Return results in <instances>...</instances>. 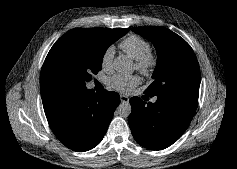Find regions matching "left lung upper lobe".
<instances>
[{
  "mask_svg": "<svg viewBox=\"0 0 237 169\" xmlns=\"http://www.w3.org/2000/svg\"><path fill=\"white\" fill-rule=\"evenodd\" d=\"M132 31L150 40L158 54L153 83L145 90L152 97L167 92L199 94L200 69L190 45L171 30L160 27H137Z\"/></svg>",
  "mask_w": 237,
  "mask_h": 169,
  "instance_id": "obj_1",
  "label": "left lung upper lobe"
}]
</instances>
